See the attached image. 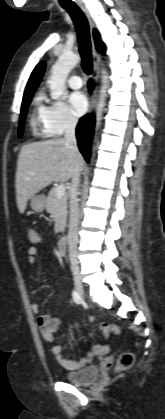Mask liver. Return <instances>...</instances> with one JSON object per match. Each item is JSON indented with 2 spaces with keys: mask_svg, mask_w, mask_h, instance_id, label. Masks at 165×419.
<instances>
[{
  "mask_svg": "<svg viewBox=\"0 0 165 419\" xmlns=\"http://www.w3.org/2000/svg\"><path fill=\"white\" fill-rule=\"evenodd\" d=\"M76 165L83 168V157H74L63 138L24 145L15 179L19 212L23 214L27 201L52 182H67Z\"/></svg>",
  "mask_w": 165,
  "mask_h": 419,
  "instance_id": "liver-1",
  "label": "liver"
}]
</instances>
